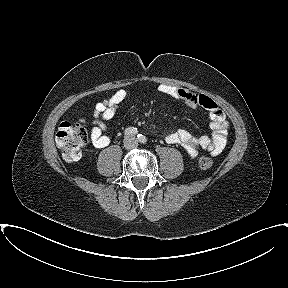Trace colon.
I'll use <instances>...</instances> for the list:
<instances>
[{"label":"colon","instance_id":"5ec220e1","mask_svg":"<svg viewBox=\"0 0 288 288\" xmlns=\"http://www.w3.org/2000/svg\"><path fill=\"white\" fill-rule=\"evenodd\" d=\"M55 139L66 161L74 162L79 160L82 156L83 148L88 142V134L84 122L65 121L61 123ZM198 163L202 169H209L214 165L213 159L209 157L200 158Z\"/></svg>","mask_w":288,"mask_h":288}]
</instances>
